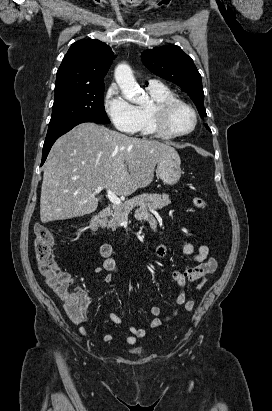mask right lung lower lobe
<instances>
[{
    "instance_id": "98d812e1",
    "label": "right lung lower lobe",
    "mask_w": 272,
    "mask_h": 411,
    "mask_svg": "<svg viewBox=\"0 0 272 411\" xmlns=\"http://www.w3.org/2000/svg\"><path fill=\"white\" fill-rule=\"evenodd\" d=\"M83 123V122H79V123H75L71 126H68L67 128H65L64 130H62L61 132L55 133L53 135H49L46 136V140L44 142V146H43V151H42V161H41V165H43V163L45 162L47 155L53 145V143L63 134H65L66 132L70 131L74 126Z\"/></svg>"
}]
</instances>
